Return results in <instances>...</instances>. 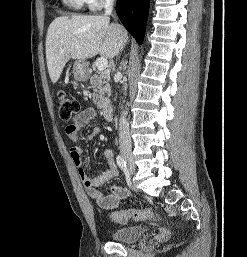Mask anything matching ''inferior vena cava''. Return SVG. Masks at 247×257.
Returning <instances> with one entry per match:
<instances>
[{"mask_svg":"<svg viewBox=\"0 0 247 257\" xmlns=\"http://www.w3.org/2000/svg\"><path fill=\"white\" fill-rule=\"evenodd\" d=\"M104 9L106 15L111 14L113 10V0H105ZM119 144L121 148L131 147L129 124L126 120L125 112H122L119 120Z\"/></svg>","mask_w":247,"mask_h":257,"instance_id":"inferior-vena-cava-1","label":"inferior vena cava"}]
</instances>
